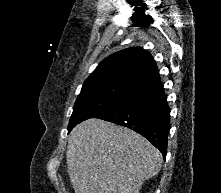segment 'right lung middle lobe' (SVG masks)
Returning <instances> with one entry per match:
<instances>
[{"label": "right lung middle lobe", "mask_w": 221, "mask_h": 193, "mask_svg": "<svg viewBox=\"0 0 221 193\" xmlns=\"http://www.w3.org/2000/svg\"><path fill=\"white\" fill-rule=\"evenodd\" d=\"M142 89V86L129 83H113L82 89L73 108L68 132L86 119L95 118L123 105L134 98Z\"/></svg>", "instance_id": "obj_1"}]
</instances>
